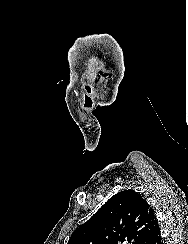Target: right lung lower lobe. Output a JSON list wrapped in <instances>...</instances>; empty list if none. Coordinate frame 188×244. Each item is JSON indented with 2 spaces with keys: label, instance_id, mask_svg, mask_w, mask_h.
<instances>
[{
  "label": "right lung lower lobe",
  "instance_id": "1",
  "mask_svg": "<svg viewBox=\"0 0 188 244\" xmlns=\"http://www.w3.org/2000/svg\"><path fill=\"white\" fill-rule=\"evenodd\" d=\"M146 244H162L160 238V229L157 227L151 234L150 238L146 242Z\"/></svg>",
  "mask_w": 188,
  "mask_h": 244
}]
</instances>
